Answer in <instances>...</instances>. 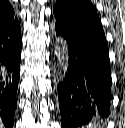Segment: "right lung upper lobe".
<instances>
[{"mask_svg":"<svg viewBox=\"0 0 125 128\" xmlns=\"http://www.w3.org/2000/svg\"><path fill=\"white\" fill-rule=\"evenodd\" d=\"M18 23L14 10L7 0H0V31Z\"/></svg>","mask_w":125,"mask_h":128,"instance_id":"right-lung-upper-lobe-1","label":"right lung upper lobe"}]
</instances>
